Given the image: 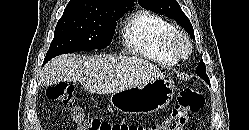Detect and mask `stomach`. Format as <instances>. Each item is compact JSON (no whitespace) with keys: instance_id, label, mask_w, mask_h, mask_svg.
<instances>
[{"instance_id":"1","label":"stomach","mask_w":249,"mask_h":130,"mask_svg":"<svg viewBox=\"0 0 249 130\" xmlns=\"http://www.w3.org/2000/svg\"><path fill=\"white\" fill-rule=\"evenodd\" d=\"M174 84L164 78L112 93L111 105L124 114H150L166 107L174 97Z\"/></svg>"}]
</instances>
